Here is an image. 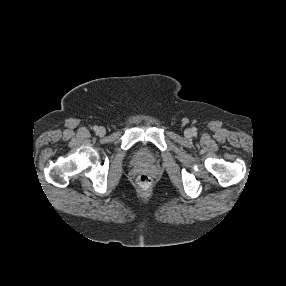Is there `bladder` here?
Masks as SVG:
<instances>
[{"label": "bladder", "mask_w": 286, "mask_h": 286, "mask_svg": "<svg viewBox=\"0 0 286 286\" xmlns=\"http://www.w3.org/2000/svg\"><path fill=\"white\" fill-rule=\"evenodd\" d=\"M135 156L138 163H148L151 161V158L144 147L139 148Z\"/></svg>", "instance_id": "bladder-1"}]
</instances>
